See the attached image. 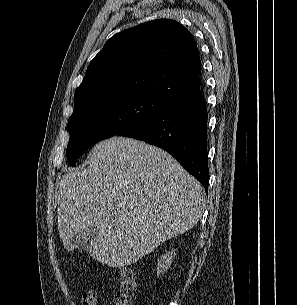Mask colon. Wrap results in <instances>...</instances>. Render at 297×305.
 <instances>
[{"label":"colon","mask_w":297,"mask_h":305,"mask_svg":"<svg viewBox=\"0 0 297 305\" xmlns=\"http://www.w3.org/2000/svg\"><path fill=\"white\" fill-rule=\"evenodd\" d=\"M137 290L133 270L129 267H123L120 270L119 290L115 296L114 305H133Z\"/></svg>","instance_id":"obj_1"}]
</instances>
